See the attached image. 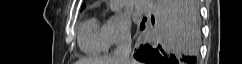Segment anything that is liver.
I'll return each mask as SVG.
<instances>
[{"mask_svg": "<svg viewBox=\"0 0 242 64\" xmlns=\"http://www.w3.org/2000/svg\"><path fill=\"white\" fill-rule=\"evenodd\" d=\"M180 25H175L177 30L184 34L192 35L195 39H199V29L196 24L190 19L188 12L185 13L180 21ZM76 64H118L113 56L101 57L97 59H80ZM130 64H140L136 60H130Z\"/></svg>", "mask_w": 242, "mask_h": 64, "instance_id": "liver-1", "label": "liver"}]
</instances>
